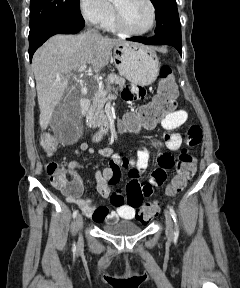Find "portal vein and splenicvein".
Segmentation results:
<instances>
[{"mask_svg":"<svg viewBox=\"0 0 240 288\" xmlns=\"http://www.w3.org/2000/svg\"><path fill=\"white\" fill-rule=\"evenodd\" d=\"M86 68H87V65L84 64V65H82V66H80V67L78 68V71H79V72H83V71L86 70ZM60 80H61L60 78H57V79H56V81H60Z\"/></svg>","mask_w":240,"mask_h":288,"instance_id":"18ae733b","label":"portal vein and splenic vein"}]
</instances>
